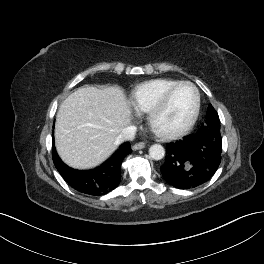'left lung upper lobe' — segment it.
Wrapping results in <instances>:
<instances>
[{
	"mask_svg": "<svg viewBox=\"0 0 264 264\" xmlns=\"http://www.w3.org/2000/svg\"><path fill=\"white\" fill-rule=\"evenodd\" d=\"M206 116L207 120L202 125L220 129L219 116L211 104L208 106Z\"/></svg>",
	"mask_w": 264,
	"mask_h": 264,
	"instance_id": "obj_1",
	"label": "left lung upper lobe"
}]
</instances>
